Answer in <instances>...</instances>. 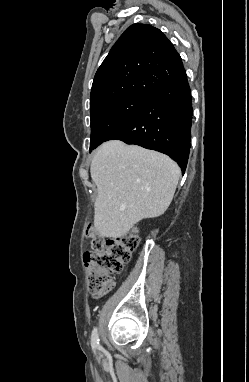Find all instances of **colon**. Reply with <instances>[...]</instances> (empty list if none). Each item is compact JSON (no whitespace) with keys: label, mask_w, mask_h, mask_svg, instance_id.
Returning a JSON list of instances; mask_svg holds the SVG:
<instances>
[{"label":"colon","mask_w":249,"mask_h":382,"mask_svg":"<svg viewBox=\"0 0 249 382\" xmlns=\"http://www.w3.org/2000/svg\"><path fill=\"white\" fill-rule=\"evenodd\" d=\"M86 236L90 238L92 247L83 255L88 287L93 297L100 298L113 289V275L123 271L140 239L137 231H132L115 241H106L92 227L87 228Z\"/></svg>","instance_id":"obj_1"}]
</instances>
